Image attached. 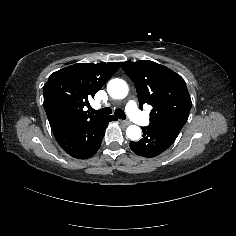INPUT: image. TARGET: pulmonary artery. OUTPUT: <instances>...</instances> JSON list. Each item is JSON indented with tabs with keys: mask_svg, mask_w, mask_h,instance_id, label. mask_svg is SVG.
Wrapping results in <instances>:
<instances>
[{
	"mask_svg": "<svg viewBox=\"0 0 236 236\" xmlns=\"http://www.w3.org/2000/svg\"><path fill=\"white\" fill-rule=\"evenodd\" d=\"M125 110L132 117L134 122L140 125H144L147 123V116L142 114V112L137 108V104L135 101L127 102Z\"/></svg>",
	"mask_w": 236,
	"mask_h": 236,
	"instance_id": "e3ab8cb5",
	"label": "pulmonary artery"
}]
</instances>
